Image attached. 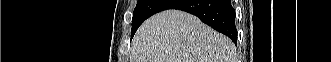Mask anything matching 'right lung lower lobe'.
Returning a JSON list of instances; mask_svg holds the SVG:
<instances>
[{"mask_svg":"<svg viewBox=\"0 0 331 62\" xmlns=\"http://www.w3.org/2000/svg\"><path fill=\"white\" fill-rule=\"evenodd\" d=\"M167 9L193 14L205 24L228 36L235 44L237 42L235 10L231 0H172L163 8Z\"/></svg>","mask_w":331,"mask_h":62,"instance_id":"1","label":"right lung lower lobe"}]
</instances>
